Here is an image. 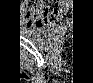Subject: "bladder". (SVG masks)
Masks as SVG:
<instances>
[{"mask_svg": "<svg viewBox=\"0 0 93 83\" xmlns=\"http://www.w3.org/2000/svg\"><path fill=\"white\" fill-rule=\"evenodd\" d=\"M27 32L36 37L37 39H39L40 41H44L46 39V33L43 31L41 25L37 26V27H31L27 29Z\"/></svg>", "mask_w": 93, "mask_h": 83, "instance_id": "31cf9c89", "label": "bladder"}]
</instances>
